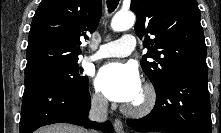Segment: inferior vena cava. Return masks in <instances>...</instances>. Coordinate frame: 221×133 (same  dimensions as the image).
Masks as SVG:
<instances>
[{
  "instance_id": "inferior-vena-cava-1",
  "label": "inferior vena cava",
  "mask_w": 221,
  "mask_h": 133,
  "mask_svg": "<svg viewBox=\"0 0 221 133\" xmlns=\"http://www.w3.org/2000/svg\"><path fill=\"white\" fill-rule=\"evenodd\" d=\"M108 101L101 95H96L92 99L89 118L92 121L103 122L107 119Z\"/></svg>"
}]
</instances>
